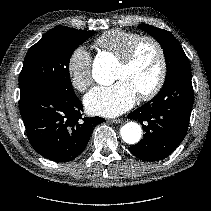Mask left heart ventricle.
<instances>
[{
    "instance_id": "left-heart-ventricle-1",
    "label": "left heart ventricle",
    "mask_w": 211,
    "mask_h": 211,
    "mask_svg": "<svg viewBox=\"0 0 211 211\" xmlns=\"http://www.w3.org/2000/svg\"><path fill=\"white\" fill-rule=\"evenodd\" d=\"M159 56L151 43H144L133 63L124 68L118 65L114 74V81L127 80L137 94L148 91L155 83L159 74Z\"/></svg>"
}]
</instances>
